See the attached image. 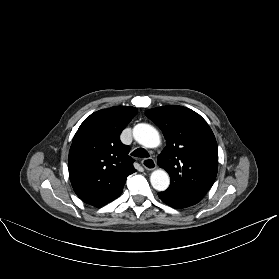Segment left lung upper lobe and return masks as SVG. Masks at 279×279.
<instances>
[{
	"instance_id": "1",
	"label": "left lung upper lobe",
	"mask_w": 279,
	"mask_h": 279,
	"mask_svg": "<svg viewBox=\"0 0 279 279\" xmlns=\"http://www.w3.org/2000/svg\"><path fill=\"white\" fill-rule=\"evenodd\" d=\"M146 116L156 123L166 139L158 155L171 183L166 191L201 200L213 185L218 170V148L206 121L182 106L149 109Z\"/></svg>"
}]
</instances>
